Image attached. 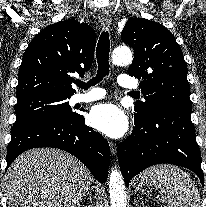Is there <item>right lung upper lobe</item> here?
I'll return each mask as SVG.
<instances>
[{
    "mask_svg": "<svg viewBox=\"0 0 206 207\" xmlns=\"http://www.w3.org/2000/svg\"><path fill=\"white\" fill-rule=\"evenodd\" d=\"M96 34L87 24L65 20L38 33L28 45L18 73L17 99L35 94L73 95L72 74L91 67Z\"/></svg>",
    "mask_w": 206,
    "mask_h": 207,
    "instance_id": "obj_1",
    "label": "right lung upper lobe"
}]
</instances>
